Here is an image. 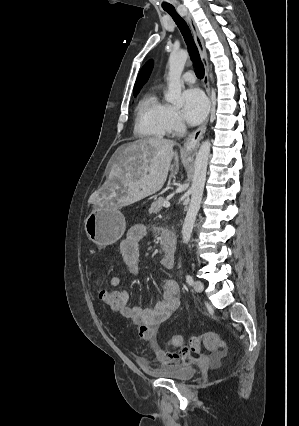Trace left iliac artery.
I'll list each match as a JSON object with an SVG mask.
<instances>
[{
	"instance_id": "obj_1",
	"label": "left iliac artery",
	"mask_w": 299,
	"mask_h": 426,
	"mask_svg": "<svg viewBox=\"0 0 299 426\" xmlns=\"http://www.w3.org/2000/svg\"><path fill=\"white\" fill-rule=\"evenodd\" d=\"M186 282H187L190 286H192V285H193V278H192V276H191V275H189V274H187V275H186Z\"/></svg>"
}]
</instances>
